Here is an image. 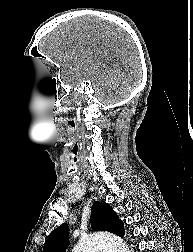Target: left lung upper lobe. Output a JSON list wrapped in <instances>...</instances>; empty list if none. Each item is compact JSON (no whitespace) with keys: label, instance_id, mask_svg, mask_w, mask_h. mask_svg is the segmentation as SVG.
Masks as SVG:
<instances>
[{"label":"left lung upper lobe","instance_id":"obj_1","mask_svg":"<svg viewBox=\"0 0 193 252\" xmlns=\"http://www.w3.org/2000/svg\"><path fill=\"white\" fill-rule=\"evenodd\" d=\"M91 227L94 231H108L120 237L125 234L123 222L106 202L97 201L92 205ZM68 234L67 224L54 229L43 247V252H65Z\"/></svg>","mask_w":193,"mask_h":252}]
</instances>
